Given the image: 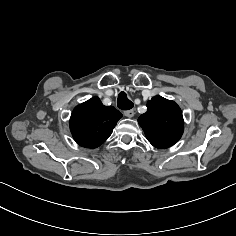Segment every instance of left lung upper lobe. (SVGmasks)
Instances as JSON below:
<instances>
[{"label":"left lung upper lobe","mask_w":236,"mask_h":236,"mask_svg":"<svg viewBox=\"0 0 236 236\" xmlns=\"http://www.w3.org/2000/svg\"><path fill=\"white\" fill-rule=\"evenodd\" d=\"M138 123L148 141L160 149L174 145L184 130L180 107L174 101L161 96H155L148 101L147 112L139 117Z\"/></svg>","instance_id":"left-lung-upper-lobe-1"}]
</instances>
